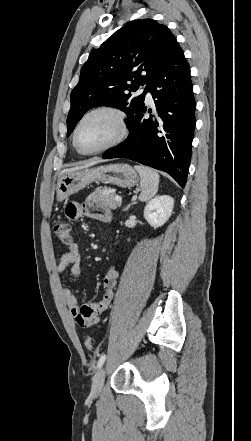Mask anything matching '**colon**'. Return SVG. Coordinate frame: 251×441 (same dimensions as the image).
Listing matches in <instances>:
<instances>
[{"label":"colon","instance_id":"1","mask_svg":"<svg viewBox=\"0 0 251 441\" xmlns=\"http://www.w3.org/2000/svg\"><path fill=\"white\" fill-rule=\"evenodd\" d=\"M55 237L61 242L68 244L72 240L70 224L65 220H56L53 225ZM85 346L91 350L94 347V339L91 336L85 338Z\"/></svg>","mask_w":251,"mask_h":441}]
</instances>
